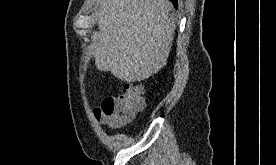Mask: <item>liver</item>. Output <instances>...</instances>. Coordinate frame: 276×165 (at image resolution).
Instances as JSON below:
<instances>
[{"label": "liver", "mask_w": 276, "mask_h": 165, "mask_svg": "<svg viewBox=\"0 0 276 165\" xmlns=\"http://www.w3.org/2000/svg\"><path fill=\"white\" fill-rule=\"evenodd\" d=\"M168 0H99L92 36L97 69L126 82L148 79L166 65L176 21Z\"/></svg>", "instance_id": "liver-1"}]
</instances>
